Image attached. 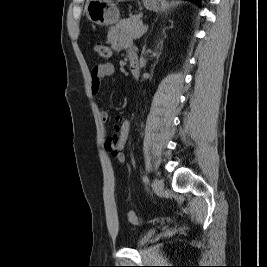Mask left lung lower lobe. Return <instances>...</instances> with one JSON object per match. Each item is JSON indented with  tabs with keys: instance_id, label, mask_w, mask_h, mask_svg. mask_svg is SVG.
Listing matches in <instances>:
<instances>
[{
	"instance_id": "left-lung-lower-lobe-1",
	"label": "left lung lower lobe",
	"mask_w": 267,
	"mask_h": 267,
	"mask_svg": "<svg viewBox=\"0 0 267 267\" xmlns=\"http://www.w3.org/2000/svg\"><path fill=\"white\" fill-rule=\"evenodd\" d=\"M189 1H191V2H194L195 4H197L198 6H201V4H200V1L199 0H189Z\"/></svg>"
}]
</instances>
